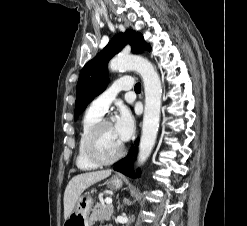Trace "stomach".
Here are the masks:
<instances>
[{"label":"stomach","instance_id":"0dacf381","mask_svg":"<svg viewBox=\"0 0 247 226\" xmlns=\"http://www.w3.org/2000/svg\"><path fill=\"white\" fill-rule=\"evenodd\" d=\"M107 185L112 189H119L122 179L113 176L107 181ZM92 205L93 200L88 194L81 195L63 226H90L89 213Z\"/></svg>","mask_w":247,"mask_h":226}]
</instances>
